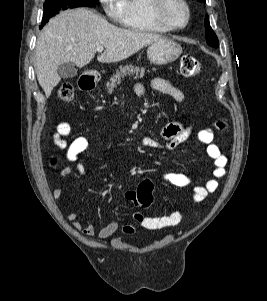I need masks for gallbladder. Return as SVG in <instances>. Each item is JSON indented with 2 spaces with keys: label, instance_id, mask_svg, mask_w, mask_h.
I'll list each match as a JSON object with an SVG mask.
<instances>
[{
  "label": "gallbladder",
  "instance_id": "1",
  "mask_svg": "<svg viewBox=\"0 0 267 301\" xmlns=\"http://www.w3.org/2000/svg\"><path fill=\"white\" fill-rule=\"evenodd\" d=\"M58 74L61 78H73L77 75V68L71 62H66L58 67Z\"/></svg>",
  "mask_w": 267,
  "mask_h": 301
}]
</instances>
